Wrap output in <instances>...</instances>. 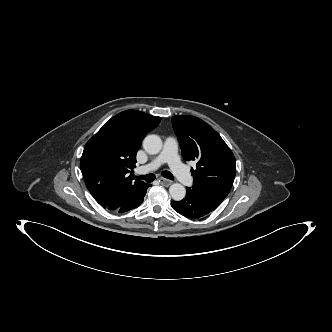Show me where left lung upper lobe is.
Instances as JSON below:
<instances>
[{
    "label": "left lung upper lobe",
    "mask_w": 332,
    "mask_h": 332,
    "mask_svg": "<svg viewBox=\"0 0 332 332\" xmlns=\"http://www.w3.org/2000/svg\"><path fill=\"white\" fill-rule=\"evenodd\" d=\"M185 161L193 160L194 184L188 191L215 206L229 194L236 172L235 157L220 135L203 120L188 115L172 117Z\"/></svg>",
    "instance_id": "left-lung-upper-lobe-1"
}]
</instances>
